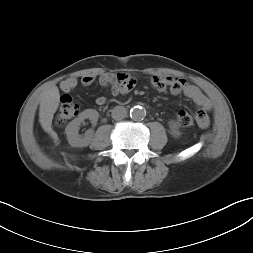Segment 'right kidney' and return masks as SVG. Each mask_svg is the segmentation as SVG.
<instances>
[{
	"label": "right kidney",
	"mask_w": 253,
	"mask_h": 253,
	"mask_svg": "<svg viewBox=\"0 0 253 253\" xmlns=\"http://www.w3.org/2000/svg\"><path fill=\"white\" fill-rule=\"evenodd\" d=\"M87 118L91 120L92 124L96 125L99 113L94 109H86L67 125L65 133L68 143L72 147H86L91 143L93 138V132L91 130H88L84 137L78 134L81 123Z\"/></svg>",
	"instance_id": "ca27d5eb"
}]
</instances>
